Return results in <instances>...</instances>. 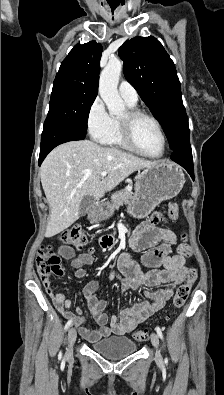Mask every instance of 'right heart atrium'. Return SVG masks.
Here are the masks:
<instances>
[{
    "instance_id": "obj_1",
    "label": "right heart atrium",
    "mask_w": 224,
    "mask_h": 395,
    "mask_svg": "<svg viewBox=\"0 0 224 395\" xmlns=\"http://www.w3.org/2000/svg\"><path fill=\"white\" fill-rule=\"evenodd\" d=\"M86 125L89 134L95 140L100 141L110 131L112 117L100 97H96L90 104L86 116Z\"/></svg>"
}]
</instances>
